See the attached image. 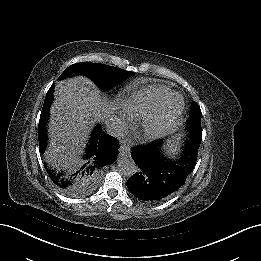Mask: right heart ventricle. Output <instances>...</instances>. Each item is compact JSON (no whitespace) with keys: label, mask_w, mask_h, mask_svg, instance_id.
<instances>
[{"label":"right heart ventricle","mask_w":261,"mask_h":261,"mask_svg":"<svg viewBox=\"0 0 261 261\" xmlns=\"http://www.w3.org/2000/svg\"><path fill=\"white\" fill-rule=\"evenodd\" d=\"M174 93L163 85H148L128 91L120 99L122 111L138 122L148 114L158 110Z\"/></svg>","instance_id":"e07e8e85"}]
</instances>
